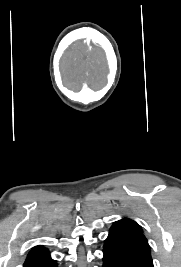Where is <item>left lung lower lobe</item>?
I'll use <instances>...</instances> for the list:
<instances>
[{"label": "left lung lower lobe", "mask_w": 181, "mask_h": 267, "mask_svg": "<svg viewBox=\"0 0 181 267\" xmlns=\"http://www.w3.org/2000/svg\"><path fill=\"white\" fill-rule=\"evenodd\" d=\"M103 253V267H154L147 239L127 222L112 225Z\"/></svg>", "instance_id": "left-lung-lower-lobe-1"}]
</instances>
